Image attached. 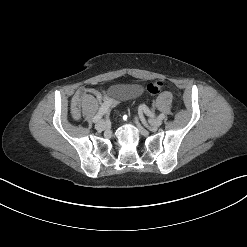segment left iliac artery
Segmentation results:
<instances>
[{"label":"left iliac artery","mask_w":247,"mask_h":247,"mask_svg":"<svg viewBox=\"0 0 247 247\" xmlns=\"http://www.w3.org/2000/svg\"><path fill=\"white\" fill-rule=\"evenodd\" d=\"M141 108L144 110V112L147 114V115H151V111L148 109V107L146 105H141ZM159 119L163 120L165 118V115L164 114H160L158 116Z\"/></svg>","instance_id":"1"}]
</instances>
